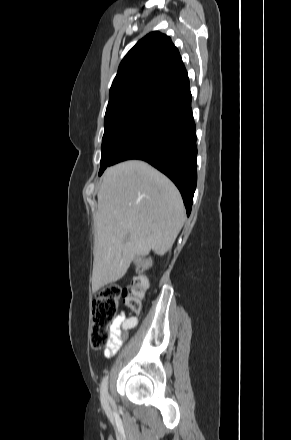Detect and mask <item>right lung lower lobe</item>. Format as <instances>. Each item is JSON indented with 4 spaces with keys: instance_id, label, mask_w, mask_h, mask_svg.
<instances>
[{
    "instance_id": "obj_1",
    "label": "right lung lower lobe",
    "mask_w": 291,
    "mask_h": 440,
    "mask_svg": "<svg viewBox=\"0 0 291 440\" xmlns=\"http://www.w3.org/2000/svg\"><path fill=\"white\" fill-rule=\"evenodd\" d=\"M189 79L159 94L123 142L110 165L144 160L163 172L181 192L187 215L197 183V147Z\"/></svg>"
}]
</instances>
